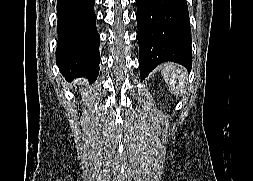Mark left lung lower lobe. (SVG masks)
Masks as SVG:
<instances>
[{
	"label": "left lung lower lobe",
	"mask_w": 253,
	"mask_h": 181,
	"mask_svg": "<svg viewBox=\"0 0 253 181\" xmlns=\"http://www.w3.org/2000/svg\"><path fill=\"white\" fill-rule=\"evenodd\" d=\"M141 78L172 61L191 70V30L186 0H136Z\"/></svg>",
	"instance_id": "left-lung-lower-lobe-1"
}]
</instances>
